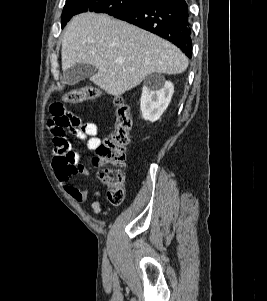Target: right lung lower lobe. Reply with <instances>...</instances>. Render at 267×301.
I'll return each mask as SVG.
<instances>
[{"label":"right lung lower lobe","mask_w":267,"mask_h":301,"mask_svg":"<svg viewBox=\"0 0 267 301\" xmlns=\"http://www.w3.org/2000/svg\"><path fill=\"white\" fill-rule=\"evenodd\" d=\"M114 17L172 42L191 58V25L185 0H148Z\"/></svg>","instance_id":"98d812e1"}]
</instances>
